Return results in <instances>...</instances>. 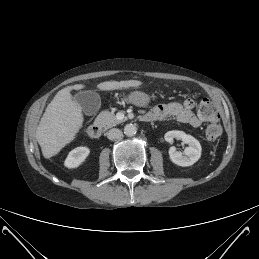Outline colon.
<instances>
[{
    "mask_svg": "<svg viewBox=\"0 0 259 259\" xmlns=\"http://www.w3.org/2000/svg\"><path fill=\"white\" fill-rule=\"evenodd\" d=\"M200 112L210 119L209 123L205 127L206 138L209 140L217 139L221 134V126L217 122V112L209 99H204L202 101Z\"/></svg>",
    "mask_w": 259,
    "mask_h": 259,
    "instance_id": "colon-1",
    "label": "colon"
}]
</instances>
